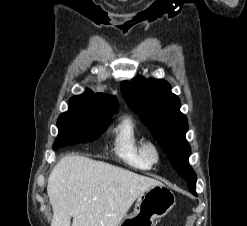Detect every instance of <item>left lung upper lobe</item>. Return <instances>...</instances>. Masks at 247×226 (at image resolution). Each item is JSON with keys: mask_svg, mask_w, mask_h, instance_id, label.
<instances>
[{"mask_svg": "<svg viewBox=\"0 0 247 226\" xmlns=\"http://www.w3.org/2000/svg\"><path fill=\"white\" fill-rule=\"evenodd\" d=\"M120 89L129 107L140 115L141 121L168 154L176 171L190 182L187 172L193 169L188 163L191 149L185 138L187 118L180 112V100L171 93L169 83L137 76L132 81H123Z\"/></svg>", "mask_w": 247, "mask_h": 226, "instance_id": "1", "label": "left lung upper lobe"}]
</instances>
